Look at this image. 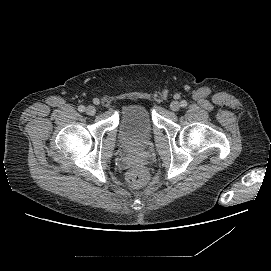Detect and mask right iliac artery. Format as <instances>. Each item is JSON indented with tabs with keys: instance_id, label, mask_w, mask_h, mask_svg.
I'll list each match as a JSON object with an SVG mask.
<instances>
[{
	"instance_id": "82829eb1",
	"label": "right iliac artery",
	"mask_w": 271,
	"mask_h": 271,
	"mask_svg": "<svg viewBox=\"0 0 271 271\" xmlns=\"http://www.w3.org/2000/svg\"><path fill=\"white\" fill-rule=\"evenodd\" d=\"M78 111H79V112H84V111H85V107H84L83 105H80V106L78 107Z\"/></svg>"
}]
</instances>
